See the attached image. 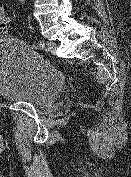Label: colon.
Masks as SVG:
<instances>
[{
  "label": "colon",
  "instance_id": "colon-1",
  "mask_svg": "<svg viewBox=\"0 0 131 177\" xmlns=\"http://www.w3.org/2000/svg\"><path fill=\"white\" fill-rule=\"evenodd\" d=\"M0 29L7 32L10 29V22L6 14L5 7L0 1Z\"/></svg>",
  "mask_w": 131,
  "mask_h": 177
}]
</instances>
